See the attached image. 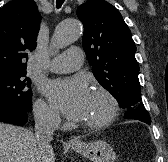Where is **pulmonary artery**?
<instances>
[{"instance_id":"e3ab8cb5","label":"pulmonary artery","mask_w":168,"mask_h":162,"mask_svg":"<svg viewBox=\"0 0 168 162\" xmlns=\"http://www.w3.org/2000/svg\"><path fill=\"white\" fill-rule=\"evenodd\" d=\"M83 61L84 54L82 49L79 47H72L53 58L48 68L53 72L68 73L79 69Z\"/></svg>"}]
</instances>
